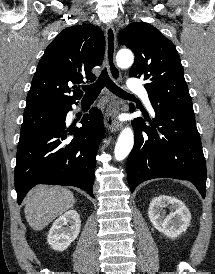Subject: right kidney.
I'll return each mask as SVG.
<instances>
[{
  "mask_svg": "<svg viewBox=\"0 0 215 274\" xmlns=\"http://www.w3.org/2000/svg\"><path fill=\"white\" fill-rule=\"evenodd\" d=\"M81 228L79 214L69 210L55 220L48 234V243L54 249L63 251L78 237Z\"/></svg>",
  "mask_w": 215,
  "mask_h": 274,
  "instance_id": "ca27d5eb",
  "label": "right kidney"
}]
</instances>
